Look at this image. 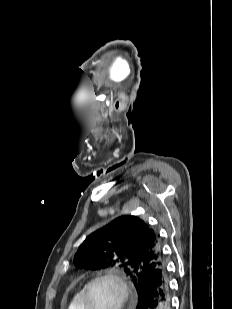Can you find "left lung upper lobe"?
Masks as SVG:
<instances>
[{
  "instance_id": "5c2ea615",
  "label": "left lung upper lobe",
  "mask_w": 232,
  "mask_h": 309,
  "mask_svg": "<svg viewBox=\"0 0 232 309\" xmlns=\"http://www.w3.org/2000/svg\"><path fill=\"white\" fill-rule=\"evenodd\" d=\"M163 263L158 233L131 215L118 217L90 234L74 257L77 268H122L133 281L138 296L151 271Z\"/></svg>"
}]
</instances>
